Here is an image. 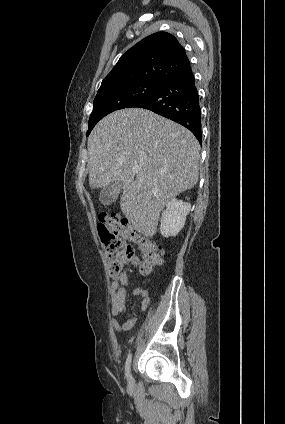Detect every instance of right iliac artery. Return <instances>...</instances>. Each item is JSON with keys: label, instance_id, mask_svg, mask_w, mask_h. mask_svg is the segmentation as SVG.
<instances>
[{"label": "right iliac artery", "instance_id": "right-iliac-artery-1", "mask_svg": "<svg viewBox=\"0 0 285 424\" xmlns=\"http://www.w3.org/2000/svg\"><path fill=\"white\" fill-rule=\"evenodd\" d=\"M131 359H132V355L129 354L127 359H126V362H125V375H126V377H128V375H129Z\"/></svg>", "mask_w": 285, "mask_h": 424}]
</instances>
